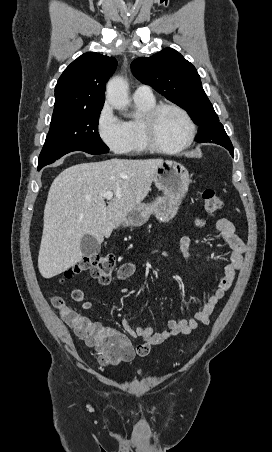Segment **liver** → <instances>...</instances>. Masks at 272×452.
Wrapping results in <instances>:
<instances>
[{
	"label": "liver",
	"mask_w": 272,
	"mask_h": 452,
	"mask_svg": "<svg viewBox=\"0 0 272 452\" xmlns=\"http://www.w3.org/2000/svg\"><path fill=\"white\" fill-rule=\"evenodd\" d=\"M161 159L113 158L73 165L53 181L44 209L39 272L52 278L82 259L81 239L102 243L147 196ZM114 193L108 206L104 193Z\"/></svg>",
	"instance_id": "6515ba94"
}]
</instances>
